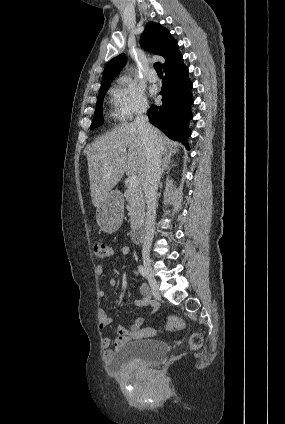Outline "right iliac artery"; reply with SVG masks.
<instances>
[{"mask_svg": "<svg viewBox=\"0 0 285 424\" xmlns=\"http://www.w3.org/2000/svg\"><path fill=\"white\" fill-rule=\"evenodd\" d=\"M138 271L140 272V274H141L143 277L147 278V273H146L145 267H143L142 265H140V266L138 267Z\"/></svg>", "mask_w": 285, "mask_h": 424, "instance_id": "82829eb1", "label": "right iliac artery"}]
</instances>
